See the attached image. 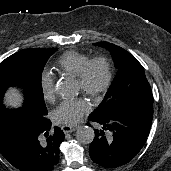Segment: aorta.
Wrapping results in <instances>:
<instances>
[{
	"mask_svg": "<svg viewBox=\"0 0 171 171\" xmlns=\"http://www.w3.org/2000/svg\"><path fill=\"white\" fill-rule=\"evenodd\" d=\"M56 93L61 97H73L77 94L74 83L67 79H61L55 86ZM76 139L82 144H90L94 140L95 132L90 126H81L76 131Z\"/></svg>",
	"mask_w": 171,
	"mask_h": 171,
	"instance_id": "aorta-1",
	"label": "aorta"
}]
</instances>
